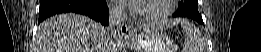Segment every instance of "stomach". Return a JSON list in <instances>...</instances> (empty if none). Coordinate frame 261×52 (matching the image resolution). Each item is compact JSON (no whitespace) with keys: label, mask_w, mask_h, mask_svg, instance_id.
Masks as SVG:
<instances>
[{"label":"stomach","mask_w":261,"mask_h":52,"mask_svg":"<svg viewBox=\"0 0 261 52\" xmlns=\"http://www.w3.org/2000/svg\"><path fill=\"white\" fill-rule=\"evenodd\" d=\"M130 45L135 52H172L168 39L152 28L136 32L130 39Z\"/></svg>","instance_id":"1"}]
</instances>
